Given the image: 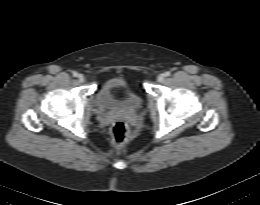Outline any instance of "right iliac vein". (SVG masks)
Listing matches in <instances>:
<instances>
[{"instance_id": "right-iliac-vein-1", "label": "right iliac vein", "mask_w": 260, "mask_h": 205, "mask_svg": "<svg viewBox=\"0 0 260 205\" xmlns=\"http://www.w3.org/2000/svg\"><path fill=\"white\" fill-rule=\"evenodd\" d=\"M78 80H79L80 82H84V80H85L84 75L79 74V75H78Z\"/></svg>"}]
</instances>
